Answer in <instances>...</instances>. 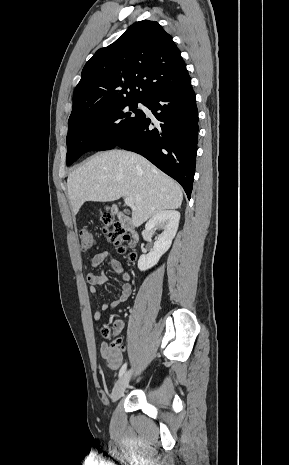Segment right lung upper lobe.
Listing matches in <instances>:
<instances>
[{
    "label": "right lung upper lobe",
    "instance_id": "right-lung-upper-lobe-1",
    "mask_svg": "<svg viewBox=\"0 0 289 465\" xmlns=\"http://www.w3.org/2000/svg\"><path fill=\"white\" fill-rule=\"evenodd\" d=\"M191 81L180 51L156 21L133 24L113 44L86 63L73 94L71 128L86 104L123 99L146 100Z\"/></svg>",
    "mask_w": 289,
    "mask_h": 465
}]
</instances>
